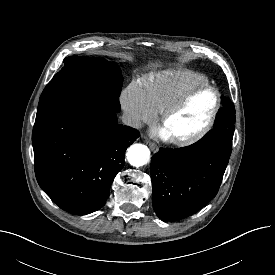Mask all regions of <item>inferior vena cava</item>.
<instances>
[{
	"instance_id": "obj_1",
	"label": "inferior vena cava",
	"mask_w": 275,
	"mask_h": 275,
	"mask_svg": "<svg viewBox=\"0 0 275 275\" xmlns=\"http://www.w3.org/2000/svg\"><path fill=\"white\" fill-rule=\"evenodd\" d=\"M121 119L122 122L127 126L137 129L142 127V122L140 121V119L137 116L132 115L130 113H124Z\"/></svg>"
}]
</instances>
